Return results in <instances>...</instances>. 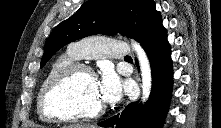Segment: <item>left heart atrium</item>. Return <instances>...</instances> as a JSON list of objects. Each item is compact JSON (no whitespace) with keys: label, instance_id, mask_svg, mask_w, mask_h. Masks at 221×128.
<instances>
[{"label":"left heart atrium","instance_id":"39dd6f15","mask_svg":"<svg viewBox=\"0 0 221 128\" xmlns=\"http://www.w3.org/2000/svg\"><path fill=\"white\" fill-rule=\"evenodd\" d=\"M103 102L115 103L121 96V85L116 75L109 69H105L101 80L97 82Z\"/></svg>","mask_w":221,"mask_h":128}]
</instances>
